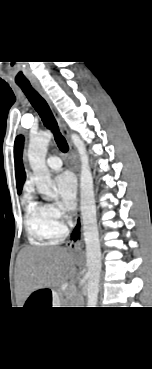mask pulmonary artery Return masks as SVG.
I'll use <instances>...</instances> for the list:
<instances>
[{
  "instance_id": "pulmonary-artery-1",
  "label": "pulmonary artery",
  "mask_w": 152,
  "mask_h": 369,
  "mask_svg": "<svg viewBox=\"0 0 152 369\" xmlns=\"http://www.w3.org/2000/svg\"><path fill=\"white\" fill-rule=\"evenodd\" d=\"M46 164L51 170H59L62 166V161L58 156H50Z\"/></svg>"
}]
</instances>
